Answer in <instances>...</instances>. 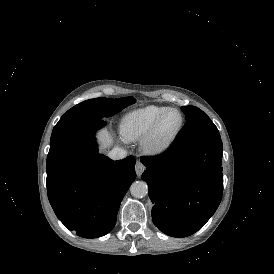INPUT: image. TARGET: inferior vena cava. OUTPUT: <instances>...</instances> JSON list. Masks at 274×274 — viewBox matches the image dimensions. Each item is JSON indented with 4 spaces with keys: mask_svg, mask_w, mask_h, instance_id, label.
<instances>
[{
    "mask_svg": "<svg viewBox=\"0 0 274 274\" xmlns=\"http://www.w3.org/2000/svg\"><path fill=\"white\" fill-rule=\"evenodd\" d=\"M127 152L118 146H113V148L108 152V156L114 160H119L125 158Z\"/></svg>",
    "mask_w": 274,
    "mask_h": 274,
    "instance_id": "inferior-vena-cava-1",
    "label": "inferior vena cava"
}]
</instances>
